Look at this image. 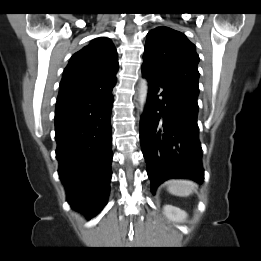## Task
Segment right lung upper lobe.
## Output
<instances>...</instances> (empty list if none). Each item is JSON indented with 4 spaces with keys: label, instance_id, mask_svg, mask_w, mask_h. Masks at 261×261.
<instances>
[{
    "label": "right lung upper lobe",
    "instance_id": "right-lung-upper-lobe-1",
    "mask_svg": "<svg viewBox=\"0 0 261 261\" xmlns=\"http://www.w3.org/2000/svg\"><path fill=\"white\" fill-rule=\"evenodd\" d=\"M117 70L113 43L105 37L96 38L71 57L63 72L58 99L111 88L116 84Z\"/></svg>",
    "mask_w": 261,
    "mask_h": 261
}]
</instances>
